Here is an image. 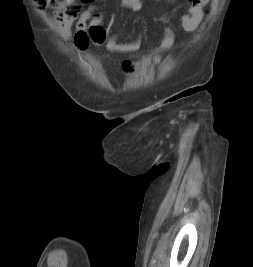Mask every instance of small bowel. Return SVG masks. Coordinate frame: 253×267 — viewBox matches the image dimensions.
<instances>
[{
	"instance_id": "small-bowel-1",
	"label": "small bowel",
	"mask_w": 253,
	"mask_h": 267,
	"mask_svg": "<svg viewBox=\"0 0 253 267\" xmlns=\"http://www.w3.org/2000/svg\"><path fill=\"white\" fill-rule=\"evenodd\" d=\"M189 8L187 13L179 19L180 25L185 30H193L199 24L203 17L204 8L209 0H187ZM120 5L124 8L137 13L142 8L141 0H119ZM55 22L61 29L63 35L68 37L73 33V41L77 48L85 49L90 42L89 28L91 26H102L104 16L100 11L96 0H71V2L63 7H58L54 14ZM112 25L105 29L108 32V41L106 48L115 53H133L138 51L142 46V38L138 37L132 42H121L119 34H111ZM175 40L173 30L169 26H165L163 37L155 50L164 52L169 50Z\"/></svg>"
}]
</instances>
